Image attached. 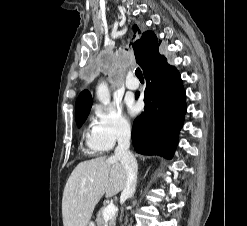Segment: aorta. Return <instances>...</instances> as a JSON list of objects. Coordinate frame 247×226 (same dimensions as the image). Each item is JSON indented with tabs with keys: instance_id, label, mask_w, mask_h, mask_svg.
<instances>
[{
	"instance_id": "1",
	"label": "aorta",
	"mask_w": 247,
	"mask_h": 226,
	"mask_svg": "<svg viewBox=\"0 0 247 226\" xmlns=\"http://www.w3.org/2000/svg\"><path fill=\"white\" fill-rule=\"evenodd\" d=\"M96 95L99 101L103 105H108L110 103V92L108 89V85L106 82H102L98 85L97 90H96Z\"/></svg>"
}]
</instances>
